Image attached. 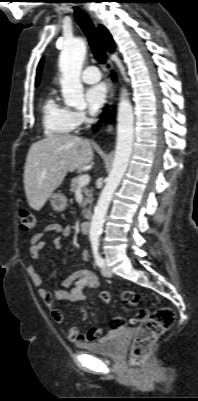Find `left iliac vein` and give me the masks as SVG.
Masks as SVG:
<instances>
[{
  "mask_svg": "<svg viewBox=\"0 0 198 401\" xmlns=\"http://www.w3.org/2000/svg\"><path fill=\"white\" fill-rule=\"evenodd\" d=\"M101 272L105 277H112V272L107 265L102 266Z\"/></svg>",
  "mask_w": 198,
  "mask_h": 401,
  "instance_id": "4c4485c4",
  "label": "left iliac vein"
}]
</instances>
